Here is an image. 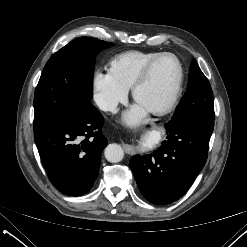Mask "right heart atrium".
<instances>
[{
    "instance_id": "d8ad5b80",
    "label": "right heart atrium",
    "mask_w": 247,
    "mask_h": 247,
    "mask_svg": "<svg viewBox=\"0 0 247 247\" xmlns=\"http://www.w3.org/2000/svg\"><path fill=\"white\" fill-rule=\"evenodd\" d=\"M93 99L97 107L113 113L127 99L128 90L120 85L109 71L96 70L92 76Z\"/></svg>"
}]
</instances>
